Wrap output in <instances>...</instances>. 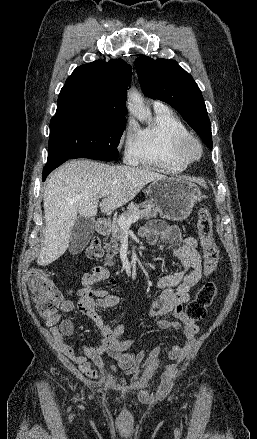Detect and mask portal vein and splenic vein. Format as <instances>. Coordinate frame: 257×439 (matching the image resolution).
Here are the masks:
<instances>
[{"mask_svg":"<svg viewBox=\"0 0 257 439\" xmlns=\"http://www.w3.org/2000/svg\"><path fill=\"white\" fill-rule=\"evenodd\" d=\"M108 195H109V192H108V191H102V192L100 193V196H102V197H106V196H108ZM139 218H140V214H139V213L134 214V215H132V216H130V217H124V216H121V217L119 218V225H120L122 228H129V227L131 226V224L134 223V222H136Z\"/></svg>","mask_w":257,"mask_h":439,"instance_id":"obj_1","label":"portal vein and splenic vein"}]
</instances>
